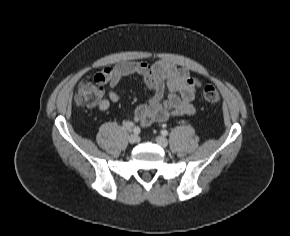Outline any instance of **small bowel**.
Here are the masks:
<instances>
[{
	"label": "small bowel",
	"mask_w": 290,
	"mask_h": 236,
	"mask_svg": "<svg viewBox=\"0 0 290 236\" xmlns=\"http://www.w3.org/2000/svg\"><path fill=\"white\" fill-rule=\"evenodd\" d=\"M140 76L151 92V97L140 104L133 113V121L142 126L165 122L173 117H183L195 112L194 98L201 80L192 76L184 68H178L166 61L123 62L108 66L95 76L107 83L109 90L104 96L103 90L95 107L106 111L112 103L120 101L117 88L125 77ZM133 124L125 122V127Z\"/></svg>",
	"instance_id": "small-bowel-1"
}]
</instances>
